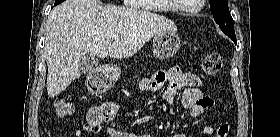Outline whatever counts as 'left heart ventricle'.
Instances as JSON below:
<instances>
[{
	"label": "left heart ventricle",
	"instance_id": "b2bd125f",
	"mask_svg": "<svg viewBox=\"0 0 280 137\" xmlns=\"http://www.w3.org/2000/svg\"><path fill=\"white\" fill-rule=\"evenodd\" d=\"M183 3L185 6H195L197 4V0H184Z\"/></svg>",
	"mask_w": 280,
	"mask_h": 137
}]
</instances>
